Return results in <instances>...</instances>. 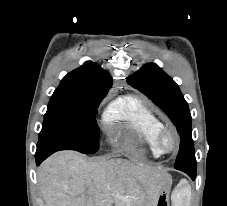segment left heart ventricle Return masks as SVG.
<instances>
[{"mask_svg": "<svg viewBox=\"0 0 227 206\" xmlns=\"http://www.w3.org/2000/svg\"><path fill=\"white\" fill-rule=\"evenodd\" d=\"M165 144L168 148H171L173 146V140L171 137H167L165 140Z\"/></svg>", "mask_w": 227, "mask_h": 206, "instance_id": "1", "label": "left heart ventricle"}]
</instances>
